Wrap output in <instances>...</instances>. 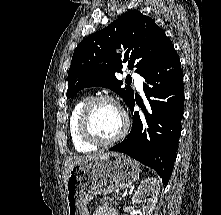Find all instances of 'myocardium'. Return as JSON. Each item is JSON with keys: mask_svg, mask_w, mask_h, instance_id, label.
<instances>
[{"mask_svg": "<svg viewBox=\"0 0 221 215\" xmlns=\"http://www.w3.org/2000/svg\"><path fill=\"white\" fill-rule=\"evenodd\" d=\"M102 102L114 104L120 111L122 116V127L120 131L111 138H101L96 135L91 128L92 111L96 105ZM129 129V119L125 111L120 107L117 101L108 95H100L86 101L83 105L78 117V130L81 138L86 142L95 146H108L117 143L125 137Z\"/></svg>", "mask_w": 221, "mask_h": 215, "instance_id": "1", "label": "myocardium"}]
</instances>
